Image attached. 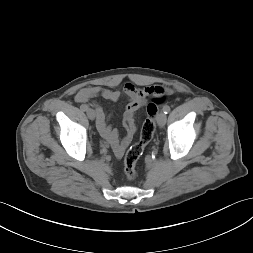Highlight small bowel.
<instances>
[{"label": "small bowel", "mask_w": 253, "mask_h": 253, "mask_svg": "<svg viewBox=\"0 0 253 253\" xmlns=\"http://www.w3.org/2000/svg\"><path fill=\"white\" fill-rule=\"evenodd\" d=\"M156 87L157 86H147L138 88L132 83H126L124 85L122 92L128 97L129 103L123 115L126 135L122 139H120L118 131L108 124V115L104 109L96 102L93 103L97 116V129L101 136L110 143L117 157H121L131 143L137 129L135 114L137 110L146 103L148 97L151 95L153 96ZM122 92L103 88L101 86H90L79 90L75 96V101L84 105L90 100L101 96L106 100L116 102L120 99Z\"/></svg>", "instance_id": "c3829d8e"}]
</instances>
